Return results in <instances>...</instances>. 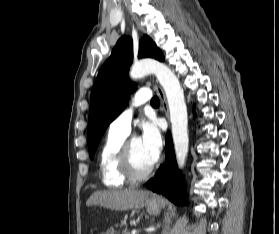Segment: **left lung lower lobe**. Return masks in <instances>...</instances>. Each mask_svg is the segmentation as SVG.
Segmentation results:
<instances>
[{
	"mask_svg": "<svg viewBox=\"0 0 279 234\" xmlns=\"http://www.w3.org/2000/svg\"><path fill=\"white\" fill-rule=\"evenodd\" d=\"M146 185L154 192L165 195L175 204L182 205L186 202L185 184L181 172L178 171L175 161L172 137L170 132L166 135V159L160 166L155 177Z\"/></svg>",
	"mask_w": 279,
	"mask_h": 234,
	"instance_id": "left-lung-lower-lobe-1",
	"label": "left lung lower lobe"
}]
</instances>
